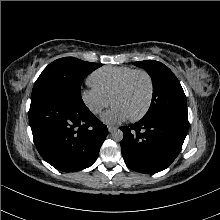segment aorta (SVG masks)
Masks as SVG:
<instances>
[{
    "label": "aorta",
    "instance_id": "762f6f07",
    "mask_svg": "<svg viewBox=\"0 0 220 220\" xmlns=\"http://www.w3.org/2000/svg\"><path fill=\"white\" fill-rule=\"evenodd\" d=\"M111 136L113 140L121 141L123 139V132L120 129H114Z\"/></svg>",
    "mask_w": 220,
    "mask_h": 220
}]
</instances>
